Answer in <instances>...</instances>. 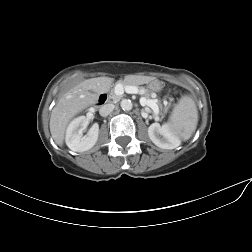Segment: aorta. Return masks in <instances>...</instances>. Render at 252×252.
<instances>
[{
    "label": "aorta",
    "mask_w": 252,
    "mask_h": 252,
    "mask_svg": "<svg viewBox=\"0 0 252 252\" xmlns=\"http://www.w3.org/2000/svg\"><path fill=\"white\" fill-rule=\"evenodd\" d=\"M123 110L130 111L133 108V104L129 99H123L120 103Z\"/></svg>",
    "instance_id": "1"
}]
</instances>
